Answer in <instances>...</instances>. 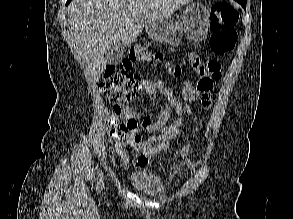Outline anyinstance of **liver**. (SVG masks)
<instances>
[{
  "label": "liver",
  "instance_id": "obj_1",
  "mask_svg": "<svg viewBox=\"0 0 293 219\" xmlns=\"http://www.w3.org/2000/svg\"><path fill=\"white\" fill-rule=\"evenodd\" d=\"M191 0H72L68 7L70 38L85 74L97 82L107 49L130 46L144 28L170 16Z\"/></svg>",
  "mask_w": 293,
  "mask_h": 219
}]
</instances>
